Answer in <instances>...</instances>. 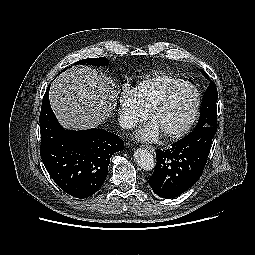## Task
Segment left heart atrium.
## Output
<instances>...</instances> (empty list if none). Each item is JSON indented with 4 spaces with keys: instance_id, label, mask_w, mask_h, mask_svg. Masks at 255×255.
I'll return each mask as SVG.
<instances>
[{
    "instance_id": "39dd6f15",
    "label": "left heart atrium",
    "mask_w": 255,
    "mask_h": 255,
    "mask_svg": "<svg viewBox=\"0 0 255 255\" xmlns=\"http://www.w3.org/2000/svg\"><path fill=\"white\" fill-rule=\"evenodd\" d=\"M160 134L158 126L151 121L136 133V138L140 141H154L159 138Z\"/></svg>"
}]
</instances>
